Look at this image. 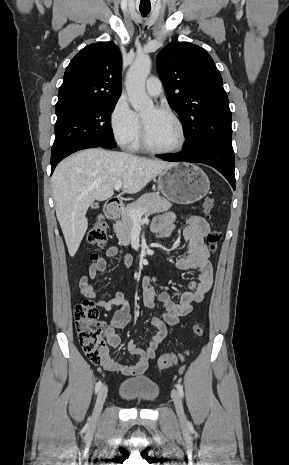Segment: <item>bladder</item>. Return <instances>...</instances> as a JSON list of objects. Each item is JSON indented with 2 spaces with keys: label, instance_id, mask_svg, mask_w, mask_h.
Segmentation results:
<instances>
[{
  "label": "bladder",
  "instance_id": "1",
  "mask_svg": "<svg viewBox=\"0 0 289 465\" xmlns=\"http://www.w3.org/2000/svg\"><path fill=\"white\" fill-rule=\"evenodd\" d=\"M159 393L158 385L142 377L124 380L118 390L122 400L137 404H151L157 400Z\"/></svg>",
  "mask_w": 289,
  "mask_h": 465
}]
</instances>
